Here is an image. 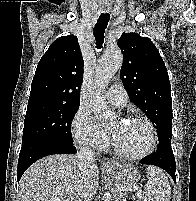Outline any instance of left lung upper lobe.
I'll return each mask as SVG.
<instances>
[{"label": "left lung upper lobe", "instance_id": "5c2ea615", "mask_svg": "<svg viewBox=\"0 0 196 201\" xmlns=\"http://www.w3.org/2000/svg\"><path fill=\"white\" fill-rule=\"evenodd\" d=\"M118 46L123 53L120 76L130 100L156 127L159 141L171 139V85L156 46L147 37L125 32Z\"/></svg>", "mask_w": 196, "mask_h": 201}]
</instances>
